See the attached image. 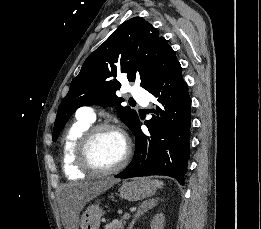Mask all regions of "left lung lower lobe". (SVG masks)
Segmentation results:
<instances>
[{
	"mask_svg": "<svg viewBox=\"0 0 261 229\" xmlns=\"http://www.w3.org/2000/svg\"><path fill=\"white\" fill-rule=\"evenodd\" d=\"M177 63L147 91L157 98L153 117L145 122L150 135L135 123V154L116 178L164 175L182 180L188 172L190 152L191 99Z\"/></svg>",
	"mask_w": 261,
	"mask_h": 229,
	"instance_id": "left-lung-lower-lobe-1",
	"label": "left lung lower lobe"
}]
</instances>
